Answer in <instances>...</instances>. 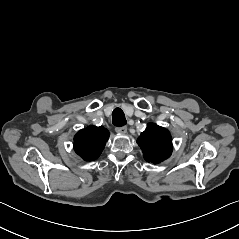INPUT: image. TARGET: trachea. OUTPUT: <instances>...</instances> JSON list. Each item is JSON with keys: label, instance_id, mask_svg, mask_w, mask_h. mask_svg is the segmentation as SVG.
Segmentation results:
<instances>
[{"label": "trachea", "instance_id": "1", "mask_svg": "<svg viewBox=\"0 0 239 239\" xmlns=\"http://www.w3.org/2000/svg\"><path fill=\"white\" fill-rule=\"evenodd\" d=\"M112 123L117 127L124 126L127 121L121 108H115L112 112Z\"/></svg>", "mask_w": 239, "mask_h": 239}]
</instances>
